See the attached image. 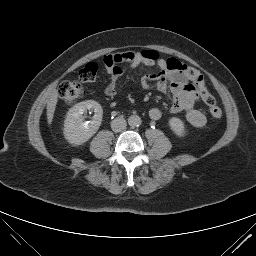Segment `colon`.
<instances>
[{
  "label": "colon",
  "instance_id": "5ec220e1",
  "mask_svg": "<svg viewBox=\"0 0 256 256\" xmlns=\"http://www.w3.org/2000/svg\"><path fill=\"white\" fill-rule=\"evenodd\" d=\"M147 55L151 58L158 57L154 51H148ZM120 59L116 54L106 55L103 58V64L106 69H115L119 65ZM185 74L190 79L191 83L200 94L203 102L209 106V112L216 119L222 118V110L216 106L215 97L208 91L203 75L196 69L186 66ZM98 65L95 62L87 63L79 71V79L82 82H92L97 78ZM58 94L60 98L67 104H74L84 95V88L77 81H63L58 86Z\"/></svg>",
  "mask_w": 256,
  "mask_h": 256
}]
</instances>
